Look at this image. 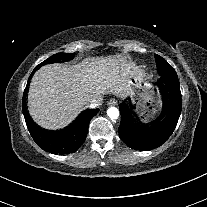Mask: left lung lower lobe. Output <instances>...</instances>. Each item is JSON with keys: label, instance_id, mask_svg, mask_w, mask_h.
<instances>
[{"label": "left lung lower lobe", "instance_id": "left-lung-lower-lobe-1", "mask_svg": "<svg viewBox=\"0 0 207 207\" xmlns=\"http://www.w3.org/2000/svg\"><path fill=\"white\" fill-rule=\"evenodd\" d=\"M158 86L163 88L168 107H164L160 118L150 127L142 128L136 124L128 105L125 102L119 104V136L132 149L145 151L159 147L171 136L177 125L182 99L176 72L161 74Z\"/></svg>", "mask_w": 207, "mask_h": 207}]
</instances>
